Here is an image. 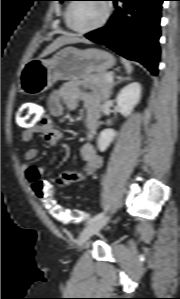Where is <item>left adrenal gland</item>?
Here are the masks:
<instances>
[{
  "label": "left adrenal gland",
  "instance_id": "left-adrenal-gland-1",
  "mask_svg": "<svg viewBox=\"0 0 180 299\" xmlns=\"http://www.w3.org/2000/svg\"><path fill=\"white\" fill-rule=\"evenodd\" d=\"M124 80H126L125 78H118V81L117 82H115V83H113V86H115V85H117V84H119L120 82H122V81H124Z\"/></svg>",
  "mask_w": 180,
  "mask_h": 299
}]
</instances>
